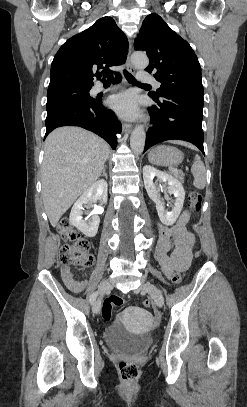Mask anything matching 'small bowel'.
<instances>
[{"mask_svg":"<svg viewBox=\"0 0 247 407\" xmlns=\"http://www.w3.org/2000/svg\"><path fill=\"white\" fill-rule=\"evenodd\" d=\"M190 213L183 211L177 223L169 227L159 224V239L157 244V258L163 273L170 278L175 272H184L190 266L195 245V236L188 231L187 224ZM61 275L66 286L73 292H81L88 281H78L74 278L70 267L63 266Z\"/></svg>","mask_w":247,"mask_h":407,"instance_id":"small-bowel-1","label":"small bowel"}]
</instances>
